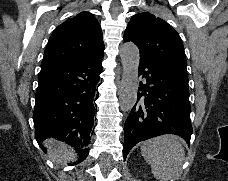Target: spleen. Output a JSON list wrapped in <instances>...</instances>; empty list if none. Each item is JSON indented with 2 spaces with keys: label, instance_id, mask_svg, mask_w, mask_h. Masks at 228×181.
<instances>
[{
  "label": "spleen",
  "instance_id": "1",
  "mask_svg": "<svg viewBox=\"0 0 228 181\" xmlns=\"http://www.w3.org/2000/svg\"><path fill=\"white\" fill-rule=\"evenodd\" d=\"M141 153L157 181H176L180 177L184 149L172 135L145 141L141 145Z\"/></svg>",
  "mask_w": 228,
  "mask_h": 181
}]
</instances>
